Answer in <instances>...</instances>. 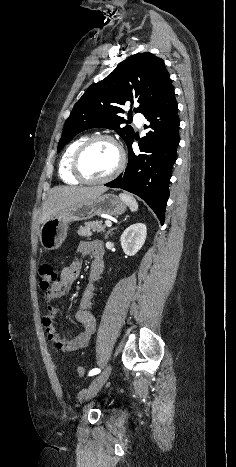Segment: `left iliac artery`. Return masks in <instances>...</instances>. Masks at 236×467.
<instances>
[{
	"label": "left iliac artery",
	"instance_id": "1",
	"mask_svg": "<svg viewBox=\"0 0 236 467\" xmlns=\"http://www.w3.org/2000/svg\"><path fill=\"white\" fill-rule=\"evenodd\" d=\"M98 373H100V369L94 368V369H92V370L89 372L88 375H89V376H93V375H96V374H98Z\"/></svg>",
	"mask_w": 236,
	"mask_h": 467
}]
</instances>
